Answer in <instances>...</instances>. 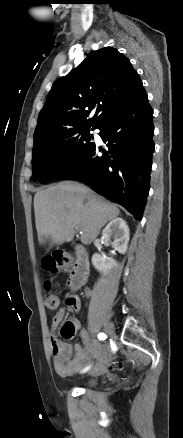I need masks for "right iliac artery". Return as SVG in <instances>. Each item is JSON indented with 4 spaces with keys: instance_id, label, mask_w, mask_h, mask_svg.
Returning <instances> with one entry per match:
<instances>
[{
    "instance_id": "82829eb1",
    "label": "right iliac artery",
    "mask_w": 183,
    "mask_h": 438,
    "mask_svg": "<svg viewBox=\"0 0 183 438\" xmlns=\"http://www.w3.org/2000/svg\"><path fill=\"white\" fill-rule=\"evenodd\" d=\"M98 338H99V340H105L107 338V335L105 333H99ZM89 369H90V366L86 367L85 369L82 370V373L88 371Z\"/></svg>"
}]
</instances>
